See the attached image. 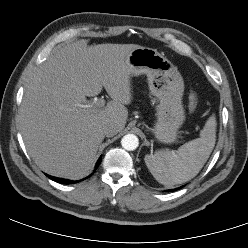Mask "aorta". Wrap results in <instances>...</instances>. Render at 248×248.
<instances>
[{"label": "aorta", "mask_w": 248, "mask_h": 248, "mask_svg": "<svg viewBox=\"0 0 248 248\" xmlns=\"http://www.w3.org/2000/svg\"><path fill=\"white\" fill-rule=\"evenodd\" d=\"M121 145L125 150L133 151L139 145V140L134 134H127L121 140Z\"/></svg>", "instance_id": "aorta-1"}]
</instances>
